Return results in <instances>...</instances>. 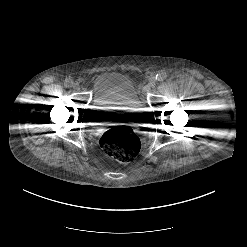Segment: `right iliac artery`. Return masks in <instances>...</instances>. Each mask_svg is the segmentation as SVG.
Masks as SVG:
<instances>
[{
	"mask_svg": "<svg viewBox=\"0 0 247 247\" xmlns=\"http://www.w3.org/2000/svg\"><path fill=\"white\" fill-rule=\"evenodd\" d=\"M64 86L65 87H72L73 86V81L72 80H70V79H66L65 81H64Z\"/></svg>",
	"mask_w": 247,
	"mask_h": 247,
	"instance_id": "82829eb1",
	"label": "right iliac artery"
}]
</instances>
